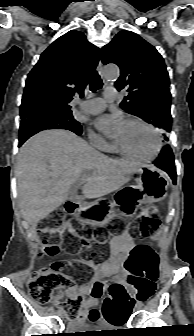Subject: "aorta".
<instances>
[{
	"mask_svg": "<svg viewBox=\"0 0 194 336\" xmlns=\"http://www.w3.org/2000/svg\"><path fill=\"white\" fill-rule=\"evenodd\" d=\"M106 81H113L119 77V69L116 65H107L102 70Z\"/></svg>",
	"mask_w": 194,
	"mask_h": 336,
	"instance_id": "1",
	"label": "aorta"
}]
</instances>
